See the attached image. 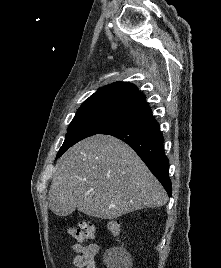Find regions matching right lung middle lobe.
I'll return each mask as SVG.
<instances>
[{
    "label": "right lung middle lobe",
    "instance_id": "dd1d6c3e",
    "mask_svg": "<svg viewBox=\"0 0 221 268\" xmlns=\"http://www.w3.org/2000/svg\"><path fill=\"white\" fill-rule=\"evenodd\" d=\"M122 122H125L123 117L110 112L101 110L78 111L68 127L65 141L57 157H60L78 141L91 135L99 134Z\"/></svg>",
    "mask_w": 221,
    "mask_h": 268
}]
</instances>
